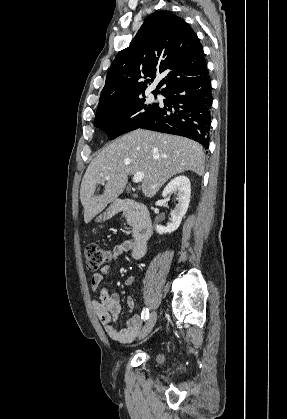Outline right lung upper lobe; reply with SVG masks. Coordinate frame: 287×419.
Returning a JSON list of instances; mask_svg holds the SVG:
<instances>
[{
	"instance_id": "cb5924a9",
	"label": "right lung upper lobe",
	"mask_w": 287,
	"mask_h": 419,
	"mask_svg": "<svg viewBox=\"0 0 287 419\" xmlns=\"http://www.w3.org/2000/svg\"><path fill=\"white\" fill-rule=\"evenodd\" d=\"M204 52L196 33L171 11L149 15L128 48L114 59L101 92L97 110L144 96L147 83L164 78L163 94L179 83L207 73ZM151 78L146 79L145 78Z\"/></svg>"
}]
</instances>
